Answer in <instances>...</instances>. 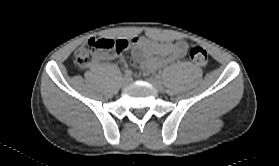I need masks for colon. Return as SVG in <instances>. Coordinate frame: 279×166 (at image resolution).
<instances>
[{"label": "colon", "mask_w": 279, "mask_h": 166, "mask_svg": "<svg viewBox=\"0 0 279 166\" xmlns=\"http://www.w3.org/2000/svg\"><path fill=\"white\" fill-rule=\"evenodd\" d=\"M128 44L126 40L92 38L76 50L74 56L75 63L80 68H86L97 59L108 56L114 51L121 53L128 47ZM188 56L190 60L198 66H204L208 62L206 50L198 45H190L188 47Z\"/></svg>", "instance_id": "5ec220e1"}]
</instances>
